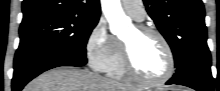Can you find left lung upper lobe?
Listing matches in <instances>:
<instances>
[{"mask_svg":"<svg viewBox=\"0 0 220 91\" xmlns=\"http://www.w3.org/2000/svg\"><path fill=\"white\" fill-rule=\"evenodd\" d=\"M143 1L148 14L172 49L176 72L211 59L201 0Z\"/></svg>","mask_w":220,"mask_h":91,"instance_id":"left-lung-upper-lobe-1","label":"left lung upper lobe"}]
</instances>
